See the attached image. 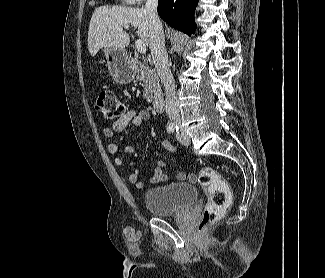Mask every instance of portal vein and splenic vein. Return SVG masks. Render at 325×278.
Masks as SVG:
<instances>
[{
	"label": "portal vein and splenic vein",
	"mask_w": 325,
	"mask_h": 278,
	"mask_svg": "<svg viewBox=\"0 0 325 278\" xmlns=\"http://www.w3.org/2000/svg\"><path fill=\"white\" fill-rule=\"evenodd\" d=\"M135 46H136V49L138 50V52L144 54L146 52V44L144 43V41L142 40H137L135 42Z\"/></svg>",
	"instance_id": "1"
}]
</instances>
